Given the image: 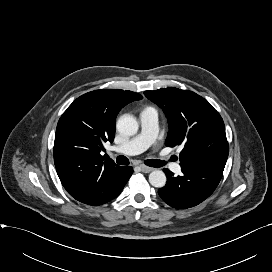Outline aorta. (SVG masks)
Here are the masks:
<instances>
[{"instance_id":"aorta-1","label":"aorta","mask_w":272,"mask_h":272,"mask_svg":"<svg viewBox=\"0 0 272 272\" xmlns=\"http://www.w3.org/2000/svg\"><path fill=\"white\" fill-rule=\"evenodd\" d=\"M139 128L138 121L132 115H122L117 121V130L125 136H133ZM166 175L161 170H154L149 174V182L152 186L161 188L166 184Z\"/></svg>"}]
</instances>
